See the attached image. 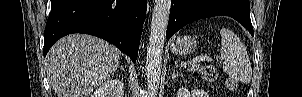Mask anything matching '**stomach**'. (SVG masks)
<instances>
[{"label": "stomach", "mask_w": 302, "mask_h": 97, "mask_svg": "<svg viewBox=\"0 0 302 97\" xmlns=\"http://www.w3.org/2000/svg\"><path fill=\"white\" fill-rule=\"evenodd\" d=\"M197 46V41L192 36L175 37L171 41L170 49L176 55H187L192 53Z\"/></svg>", "instance_id": "obj_1"}]
</instances>
